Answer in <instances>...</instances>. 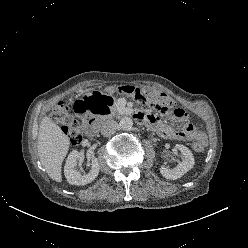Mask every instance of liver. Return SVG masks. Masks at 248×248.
Segmentation results:
<instances>
[{"label":"liver","mask_w":248,"mask_h":248,"mask_svg":"<svg viewBox=\"0 0 248 248\" xmlns=\"http://www.w3.org/2000/svg\"><path fill=\"white\" fill-rule=\"evenodd\" d=\"M69 146V137L45 116L39 126L37 150L42 166L56 182L62 181V162L68 153Z\"/></svg>","instance_id":"liver-1"}]
</instances>
